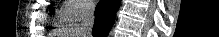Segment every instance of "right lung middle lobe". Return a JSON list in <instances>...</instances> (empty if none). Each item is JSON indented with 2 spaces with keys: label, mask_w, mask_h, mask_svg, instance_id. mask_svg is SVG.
Wrapping results in <instances>:
<instances>
[{
  "label": "right lung middle lobe",
  "mask_w": 219,
  "mask_h": 37,
  "mask_svg": "<svg viewBox=\"0 0 219 37\" xmlns=\"http://www.w3.org/2000/svg\"><path fill=\"white\" fill-rule=\"evenodd\" d=\"M54 13V8L53 5L51 6V11H50V15H52Z\"/></svg>",
  "instance_id": "dd1d6c3e"
}]
</instances>
